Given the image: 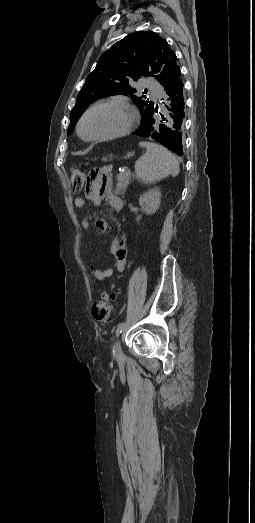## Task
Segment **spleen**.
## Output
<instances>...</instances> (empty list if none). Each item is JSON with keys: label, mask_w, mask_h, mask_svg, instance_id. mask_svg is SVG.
Listing matches in <instances>:
<instances>
[{"label": "spleen", "mask_w": 255, "mask_h": 523, "mask_svg": "<svg viewBox=\"0 0 255 523\" xmlns=\"http://www.w3.org/2000/svg\"><path fill=\"white\" fill-rule=\"evenodd\" d=\"M140 146L147 150L135 164L136 174L142 182L155 184L167 176H178L179 162L167 148L150 142H141Z\"/></svg>", "instance_id": "spleen-1"}]
</instances>
